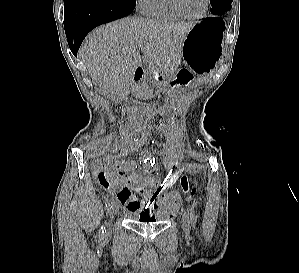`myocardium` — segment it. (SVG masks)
<instances>
[{
  "mask_svg": "<svg viewBox=\"0 0 299 273\" xmlns=\"http://www.w3.org/2000/svg\"><path fill=\"white\" fill-rule=\"evenodd\" d=\"M171 2H172L173 7L175 8V10L178 13H180L183 17L192 19V20L203 18L205 16V14L207 13V11L209 9V5H210V0H205V6H204L203 11L198 15H190L184 11V9L181 6L180 0H171Z\"/></svg>",
  "mask_w": 299,
  "mask_h": 273,
  "instance_id": "f54148a6",
  "label": "myocardium"
}]
</instances>
